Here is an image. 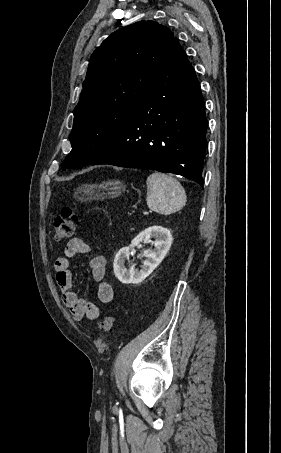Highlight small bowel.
I'll return each instance as SVG.
<instances>
[{
	"instance_id": "c3829d8e",
	"label": "small bowel",
	"mask_w": 281,
	"mask_h": 453,
	"mask_svg": "<svg viewBox=\"0 0 281 453\" xmlns=\"http://www.w3.org/2000/svg\"><path fill=\"white\" fill-rule=\"evenodd\" d=\"M90 246L81 238H71L68 241L64 255L59 256L54 262V270L57 282L62 291V301L70 309L75 320L86 317L95 321L100 317L99 305L80 299L72 289V272L70 258L75 254H88ZM91 277L98 285L97 296L100 302L108 303L113 299V291L106 279L105 258L101 254H93L88 259Z\"/></svg>"
}]
</instances>
